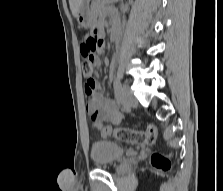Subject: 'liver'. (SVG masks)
<instances>
[{
  "label": "liver",
  "instance_id": "1",
  "mask_svg": "<svg viewBox=\"0 0 223 191\" xmlns=\"http://www.w3.org/2000/svg\"><path fill=\"white\" fill-rule=\"evenodd\" d=\"M83 3L84 0H69L70 9L74 17H77L81 7L83 6Z\"/></svg>",
  "mask_w": 223,
  "mask_h": 191
}]
</instances>
